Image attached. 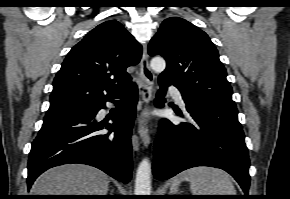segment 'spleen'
I'll use <instances>...</instances> for the list:
<instances>
[{"instance_id": "1", "label": "spleen", "mask_w": 290, "mask_h": 199, "mask_svg": "<svg viewBox=\"0 0 290 199\" xmlns=\"http://www.w3.org/2000/svg\"><path fill=\"white\" fill-rule=\"evenodd\" d=\"M182 180L190 182L193 195H236L229 175L218 168L201 166L184 171L178 178L174 179L173 191Z\"/></svg>"}]
</instances>
